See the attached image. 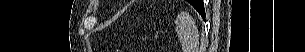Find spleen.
<instances>
[{
    "label": "spleen",
    "mask_w": 305,
    "mask_h": 52,
    "mask_svg": "<svg viewBox=\"0 0 305 52\" xmlns=\"http://www.w3.org/2000/svg\"><path fill=\"white\" fill-rule=\"evenodd\" d=\"M176 31L178 33V37L180 39L182 49L185 52H194L198 45V29L195 25L194 20L186 13H181L177 16L176 20ZM187 30L192 37V42L187 43L186 40L181 36L183 30Z\"/></svg>",
    "instance_id": "obj_1"
}]
</instances>
